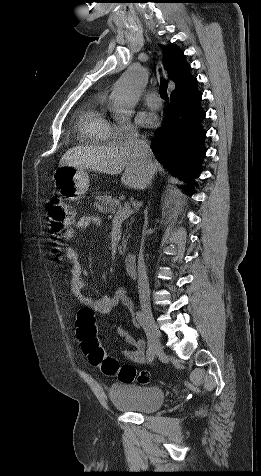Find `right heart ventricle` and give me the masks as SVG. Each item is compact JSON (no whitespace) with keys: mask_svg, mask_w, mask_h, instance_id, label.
<instances>
[{"mask_svg":"<svg viewBox=\"0 0 261 476\" xmlns=\"http://www.w3.org/2000/svg\"><path fill=\"white\" fill-rule=\"evenodd\" d=\"M112 128L104 108V96L90 100L80 118V130L85 141L94 144L106 143L112 139Z\"/></svg>","mask_w":261,"mask_h":476,"instance_id":"obj_1","label":"right heart ventricle"}]
</instances>
